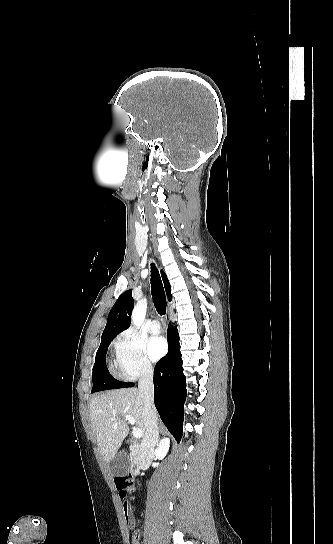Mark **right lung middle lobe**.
I'll return each instance as SVG.
<instances>
[{"label": "right lung middle lobe", "instance_id": "1", "mask_svg": "<svg viewBox=\"0 0 333 544\" xmlns=\"http://www.w3.org/2000/svg\"><path fill=\"white\" fill-rule=\"evenodd\" d=\"M113 338L114 337L101 340V344L96 353L95 363L93 366V388L91 390V393L102 390L125 388L131 384L116 380L109 374V371L107 369L105 357L108 346Z\"/></svg>", "mask_w": 333, "mask_h": 544}]
</instances>
